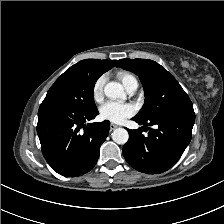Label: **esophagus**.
Listing matches in <instances>:
<instances>
[{
	"label": "esophagus",
	"mask_w": 224,
	"mask_h": 224,
	"mask_svg": "<svg viewBox=\"0 0 224 224\" xmlns=\"http://www.w3.org/2000/svg\"><path fill=\"white\" fill-rule=\"evenodd\" d=\"M117 127H119L118 125L114 124V123H111L110 124V130H114L116 129Z\"/></svg>",
	"instance_id": "34e87169"
}]
</instances>
